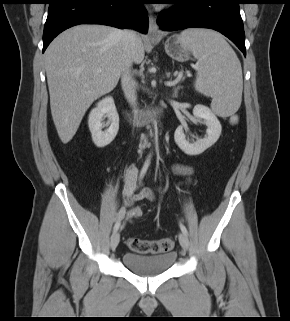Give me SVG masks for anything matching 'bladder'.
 <instances>
[{"label":"bladder","mask_w":290,"mask_h":321,"mask_svg":"<svg viewBox=\"0 0 290 321\" xmlns=\"http://www.w3.org/2000/svg\"><path fill=\"white\" fill-rule=\"evenodd\" d=\"M176 259L177 254L174 251L156 255L127 252L122 256L124 266L142 277H154L167 272Z\"/></svg>","instance_id":"bladder-1"}]
</instances>
